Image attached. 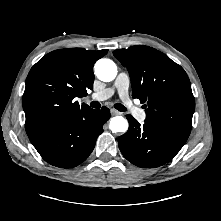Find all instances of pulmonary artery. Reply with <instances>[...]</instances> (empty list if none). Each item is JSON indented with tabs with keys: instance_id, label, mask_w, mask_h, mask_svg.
Instances as JSON below:
<instances>
[{
	"instance_id": "e3ab8cb5",
	"label": "pulmonary artery",
	"mask_w": 221,
	"mask_h": 221,
	"mask_svg": "<svg viewBox=\"0 0 221 221\" xmlns=\"http://www.w3.org/2000/svg\"><path fill=\"white\" fill-rule=\"evenodd\" d=\"M129 76L125 72H120L113 85L109 88H106L100 92L93 93L90 98L92 100H105L111 97L116 91L119 93L120 98L133 110L134 115L140 121H143L146 117V114L143 110L138 109L134 106L132 101L129 99Z\"/></svg>"
}]
</instances>
